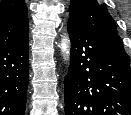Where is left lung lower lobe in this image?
<instances>
[{"label": "left lung lower lobe", "instance_id": "0a47b994", "mask_svg": "<svg viewBox=\"0 0 131 115\" xmlns=\"http://www.w3.org/2000/svg\"><path fill=\"white\" fill-rule=\"evenodd\" d=\"M67 28L71 55L65 115H131L130 62L74 22L68 21Z\"/></svg>", "mask_w": 131, "mask_h": 115}]
</instances>
